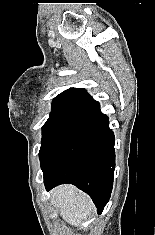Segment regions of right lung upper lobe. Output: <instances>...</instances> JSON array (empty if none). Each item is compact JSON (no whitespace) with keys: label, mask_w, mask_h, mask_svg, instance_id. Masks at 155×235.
Instances as JSON below:
<instances>
[{"label":"right lung upper lobe","mask_w":155,"mask_h":235,"mask_svg":"<svg viewBox=\"0 0 155 235\" xmlns=\"http://www.w3.org/2000/svg\"><path fill=\"white\" fill-rule=\"evenodd\" d=\"M89 97L81 88L65 90L53 99L51 113L71 116L94 124L98 118L94 115V105Z\"/></svg>","instance_id":"cb5924a9"}]
</instances>
